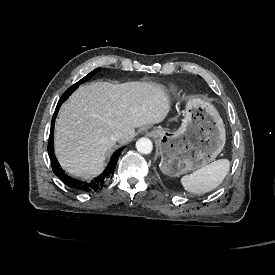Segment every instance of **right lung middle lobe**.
Listing matches in <instances>:
<instances>
[{"label":"right lung middle lobe","instance_id":"dd1d6c3e","mask_svg":"<svg viewBox=\"0 0 275 275\" xmlns=\"http://www.w3.org/2000/svg\"><path fill=\"white\" fill-rule=\"evenodd\" d=\"M100 70V68H97L95 70H93L92 72H90L88 75H86L84 78H82L79 82H77L76 84H74L73 86H71L69 89H67L65 91V93L62 95L61 98H68L72 92L82 83L88 81L92 76H94L98 71Z\"/></svg>","mask_w":275,"mask_h":275}]
</instances>
